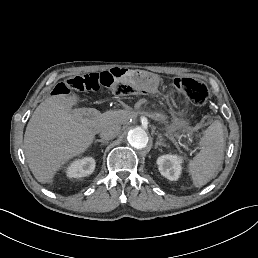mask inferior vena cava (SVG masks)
I'll use <instances>...</instances> for the list:
<instances>
[{"label":"inferior vena cava","mask_w":258,"mask_h":258,"mask_svg":"<svg viewBox=\"0 0 258 258\" xmlns=\"http://www.w3.org/2000/svg\"><path fill=\"white\" fill-rule=\"evenodd\" d=\"M120 133V127L113 124L107 125L100 133V137L104 140L114 139Z\"/></svg>","instance_id":"602c4592"}]
</instances>
